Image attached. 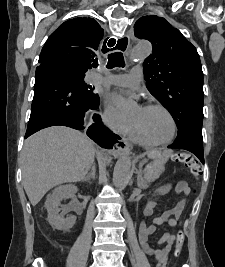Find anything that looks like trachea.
Returning <instances> with one entry per match:
<instances>
[{
	"label": "trachea",
	"instance_id": "obj_1",
	"mask_svg": "<svg viewBox=\"0 0 225 267\" xmlns=\"http://www.w3.org/2000/svg\"><path fill=\"white\" fill-rule=\"evenodd\" d=\"M115 43H116L115 39H110L108 45L112 47L115 45ZM124 65H125L124 57L121 52L111 53L108 55L107 68L112 69L114 67H124ZM93 66L96 68L98 66V63H95Z\"/></svg>",
	"mask_w": 225,
	"mask_h": 267
}]
</instances>
